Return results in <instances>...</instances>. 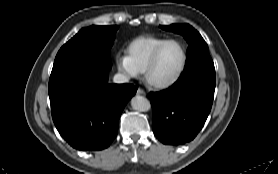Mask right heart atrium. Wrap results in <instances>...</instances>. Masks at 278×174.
<instances>
[{
	"instance_id": "right-heart-atrium-1",
	"label": "right heart atrium",
	"mask_w": 278,
	"mask_h": 174,
	"mask_svg": "<svg viewBox=\"0 0 278 174\" xmlns=\"http://www.w3.org/2000/svg\"><path fill=\"white\" fill-rule=\"evenodd\" d=\"M117 67L123 74H125L127 76H131V77L137 76L139 73L136 70V68L132 65L128 56H125V55L118 56Z\"/></svg>"
}]
</instances>
